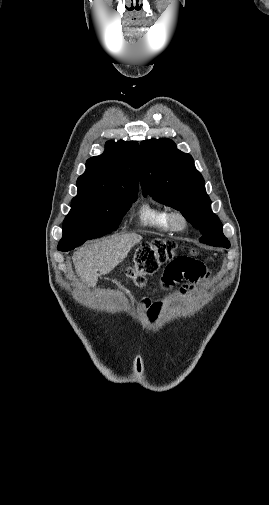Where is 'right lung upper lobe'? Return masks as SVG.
<instances>
[{"label":"right lung upper lobe","mask_w":269,"mask_h":505,"mask_svg":"<svg viewBox=\"0 0 269 505\" xmlns=\"http://www.w3.org/2000/svg\"><path fill=\"white\" fill-rule=\"evenodd\" d=\"M139 153L136 141H109L103 154L86 162L77 180L78 195H137Z\"/></svg>","instance_id":"right-lung-upper-lobe-1"}]
</instances>
